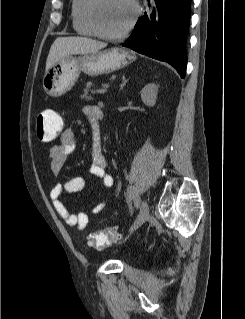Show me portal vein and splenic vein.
<instances>
[{
    "instance_id": "portal-vein-and-splenic-vein-1",
    "label": "portal vein and splenic vein",
    "mask_w": 245,
    "mask_h": 319,
    "mask_svg": "<svg viewBox=\"0 0 245 319\" xmlns=\"http://www.w3.org/2000/svg\"><path fill=\"white\" fill-rule=\"evenodd\" d=\"M96 92L98 94H106L108 92V89L107 88H102V89H98Z\"/></svg>"
}]
</instances>
